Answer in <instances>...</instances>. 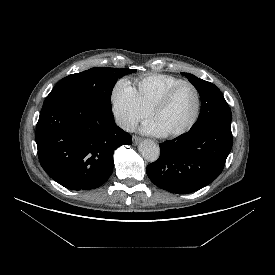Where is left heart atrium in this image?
<instances>
[{
  "label": "left heart atrium",
  "mask_w": 275,
  "mask_h": 275,
  "mask_svg": "<svg viewBox=\"0 0 275 275\" xmlns=\"http://www.w3.org/2000/svg\"><path fill=\"white\" fill-rule=\"evenodd\" d=\"M142 131L152 135H164V132L154 120L146 122L142 127Z\"/></svg>",
  "instance_id": "left-heart-atrium-1"
}]
</instances>
